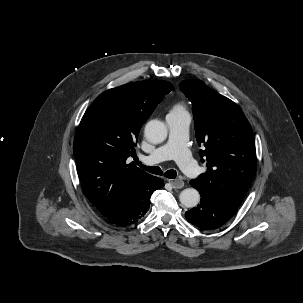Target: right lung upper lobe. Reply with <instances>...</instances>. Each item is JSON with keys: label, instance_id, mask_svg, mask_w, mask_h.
Masks as SVG:
<instances>
[{"label": "right lung upper lobe", "instance_id": "right-lung-upper-lobe-1", "mask_svg": "<svg viewBox=\"0 0 303 303\" xmlns=\"http://www.w3.org/2000/svg\"><path fill=\"white\" fill-rule=\"evenodd\" d=\"M174 89L167 81L128 83L100 94L81 119L74 157L84 195L105 212L152 176L126 164L142 125Z\"/></svg>", "mask_w": 303, "mask_h": 303}]
</instances>
